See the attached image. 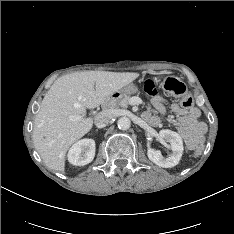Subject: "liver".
<instances>
[{"mask_svg": "<svg viewBox=\"0 0 234 234\" xmlns=\"http://www.w3.org/2000/svg\"><path fill=\"white\" fill-rule=\"evenodd\" d=\"M138 76L134 72L83 71L58 78L34 120L33 142L45 165L63 172L68 148L93 126V119L85 118L86 108L99 106ZM70 115L83 118L73 122Z\"/></svg>", "mask_w": 234, "mask_h": 234, "instance_id": "1", "label": "liver"}]
</instances>
